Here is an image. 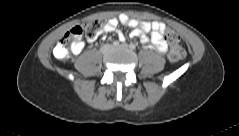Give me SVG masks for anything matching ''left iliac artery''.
I'll return each mask as SVG.
<instances>
[{
	"label": "left iliac artery",
	"mask_w": 239,
	"mask_h": 136,
	"mask_svg": "<svg viewBox=\"0 0 239 136\" xmlns=\"http://www.w3.org/2000/svg\"><path fill=\"white\" fill-rule=\"evenodd\" d=\"M130 48H131V49H135V45L131 43V44H130Z\"/></svg>",
	"instance_id": "left-iliac-artery-1"
}]
</instances>
